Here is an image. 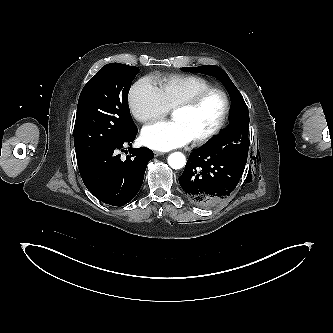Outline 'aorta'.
<instances>
[{"label":"aorta","instance_id":"762f6f07","mask_svg":"<svg viewBox=\"0 0 333 333\" xmlns=\"http://www.w3.org/2000/svg\"><path fill=\"white\" fill-rule=\"evenodd\" d=\"M168 164L173 169H181L186 164V158L181 152H174L168 156Z\"/></svg>","mask_w":333,"mask_h":333}]
</instances>
